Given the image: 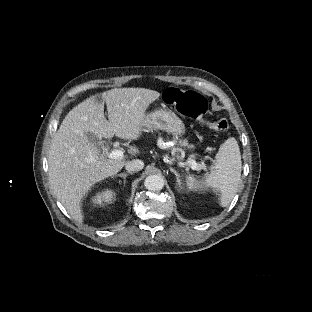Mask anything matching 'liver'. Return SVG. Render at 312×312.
I'll return each instance as SVG.
<instances>
[{"label":"liver","instance_id":"1","mask_svg":"<svg viewBox=\"0 0 312 312\" xmlns=\"http://www.w3.org/2000/svg\"><path fill=\"white\" fill-rule=\"evenodd\" d=\"M91 96L68 112L50 144L48 175L50 185L59 202L74 220L84 224L82 201L99 182L116 176L128 158H100L99 149L90 141L97 138H118L139 141L145 130L150 104L160 93L146 88H114ZM107 106L110 122L104 117ZM130 158L140 156V149L129 146ZM92 156L99 161H91Z\"/></svg>","mask_w":312,"mask_h":312}]
</instances>
